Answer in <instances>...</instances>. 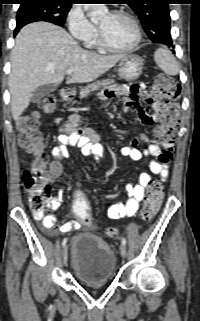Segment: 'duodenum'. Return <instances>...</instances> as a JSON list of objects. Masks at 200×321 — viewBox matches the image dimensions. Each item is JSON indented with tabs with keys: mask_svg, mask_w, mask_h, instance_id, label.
Segmentation results:
<instances>
[{
	"mask_svg": "<svg viewBox=\"0 0 200 321\" xmlns=\"http://www.w3.org/2000/svg\"><path fill=\"white\" fill-rule=\"evenodd\" d=\"M62 97L65 99V100H69L73 97V93L71 90L69 89H64L62 91Z\"/></svg>",
	"mask_w": 200,
	"mask_h": 321,
	"instance_id": "obj_1",
	"label": "duodenum"
}]
</instances>
